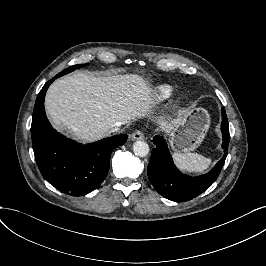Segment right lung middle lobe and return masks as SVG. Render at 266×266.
Masks as SVG:
<instances>
[{"label":"right lung middle lobe","mask_w":266,"mask_h":266,"mask_svg":"<svg viewBox=\"0 0 266 266\" xmlns=\"http://www.w3.org/2000/svg\"><path fill=\"white\" fill-rule=\"evenodd\" d=\"M88 64H79V65H75V66H71L65 70H63L62 72L59 73L60 76L64 75V74H67L69 72H72L73 70L77 69V68H80L82 66H86Z\"/></svg>","instance_id":"1"}]
</instances>
